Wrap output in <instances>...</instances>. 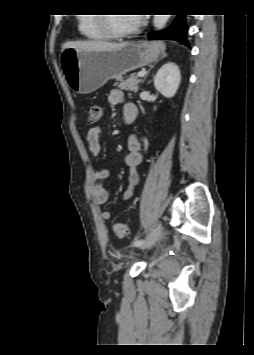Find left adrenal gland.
<instances>
[{
  "label": "left adrenal gland",
  "mask_w": 254,
  "mask_h": 355,
  "mask_svg": "<svg viewBox=\"0 0 254 355\" xmlns=\"http://www.w3.org/2000/svg\"><path fill=\"white\" fill-rule=\"evenodd\" d=\"M164 57H166V54L164 53L163 55H162V57L159 59V60H161V59H163ZM158 60V61H159ZM158 61H156L155 62V64L158 62ZM154 64V65H155ZM154 65L149 69V71H148V73L150 72V70L154 67ZM148 73L146 74V76L144 77V79L142 80V83L144 82V80L147 78V76H148Z\"/></svg>",
  "instance_id": "obj_1"
}]
</instances>
